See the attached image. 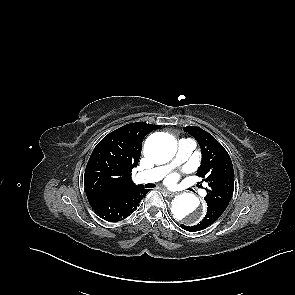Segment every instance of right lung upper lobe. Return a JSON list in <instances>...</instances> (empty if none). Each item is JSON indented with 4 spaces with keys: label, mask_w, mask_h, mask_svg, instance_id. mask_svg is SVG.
<instances>
[{
    "label": "right lung upper lobe",
    "mask_w": 295,
    "mask_h": 295,
    "mask_svg": "<svg viewBox=\"0 0 295 295\" xmlns=\"http://www.w3.org/2000/svg\"><path fill=\"white\" fill-rule=\"evenodd\" d=\"M161 125L136 122L122 126L106 135L94 148L91 156H102L117 167L113 186L104 193H122L142 187L132 184L131 171L137 166L144 137Z\"/></svg>",
    "instance_id": "cb5924a9"
}]
</instances>
